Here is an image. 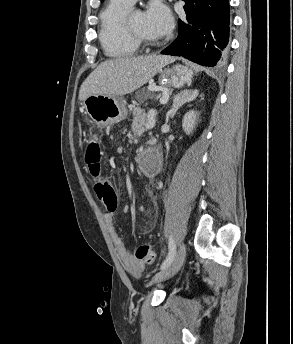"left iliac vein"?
I'll use <instances>...</instances> for the list:
<instances>
[{"label":"left iliac vein","instance_id":"1","mask_svg":"<svg viewBox=\"0 0 293 344\" xmlns=\"http://www.w3.org/2000/svg\"><path fill=\"white\" fill-rule=\"evenodd\" d=\"M186 256V247L184 244H181L178 248V251L173 259V261L166 268L159 271L153 277L154 283H159L173 277L183 265Z\"/></svg>","mask_w":293,"mask_h":344}]
</instances>
